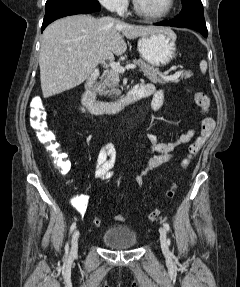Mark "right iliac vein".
<instances>
[{
  "label": "right iliac vein",
  "mask_w": 240,
  "mask_h": 287,
  "mask_svg": "<svg viewBox=\"0 0 240 287\" xmlns=\"http://www.w3.org/2000/svg\"><path fill=\"white\" fill-rule=\"evenodd\" d=\"M79 235H80L79 230H75L73 235H72L71 255H76L77 254Z\"/></svg>",
  "instance_id": "right-iliac-vein-1"
}]
</instances>
